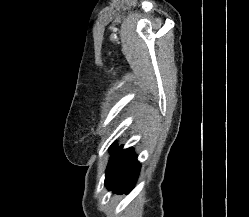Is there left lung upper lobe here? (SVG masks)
Wrapping results in <instances>:
<instances>
[{"mask_svg": "<svg viewBox=\"0 0 249 217\" xmlns=\"http://www.w3.org/2000/svg\"><path fill=\"white\" fill-rule=\"evenodd\" d=\"M116 147H115V143L111 146V152H112V156L110 158L107 170H106V175H108L111 171V168L113 166V162H114V158H115V153H116Z\"/></svg>", "mask_w": 249, "mask_h": 217, "instance_id": "1", "label": "left lung upper lobe"}]
</instances>
